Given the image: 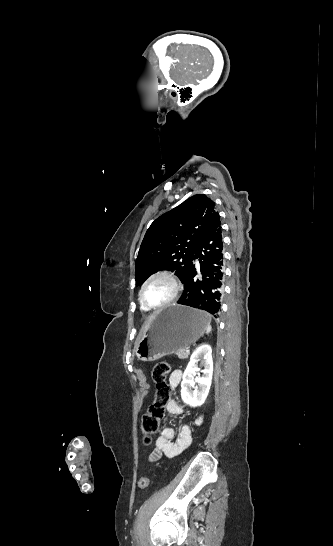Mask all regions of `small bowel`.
<instances>
[{
    "label": "small bowel",
    "mask_w": 333,
    "mask_h": 546,
    "mask_svg": "<svg viewBox=\"0 0 333 546\" xmlns=\"http://www.w3.org/2000/svg\"><path fill=\"white\" fill-rule=\"evenodd\" d=\"M182 377L183 373L181 370H174L169 377L171 386L178 387L182 381ZM166 409L172 415H179L183 413V408L175 400H170L166 405ZM202 422L203 416L200 415L195 418L191 424L194 426H200ZM174 438L175 430L170 426L163 427L160 431V435L155 441V448L149 459L151 461H155L162 455L168 458H173L187 449L192 442L190 425H183L177 439L174 440Z\"/></svg>",
    "instance_id": "1"
}]
</instances>
